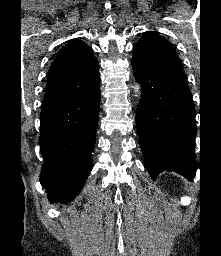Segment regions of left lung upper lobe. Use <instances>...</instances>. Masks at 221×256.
Wrapping results in <instances>:
<instances>
[{
  "label": "left lung upper lobe",
  "mask_w": 221,
  "mask_h": 256,
  "mask_svg": "<svg viewBox=\"0 0 221 256\" xmlns=\"http://www.w3.org/2000/svg\"><path fill=\"white\" fill-rule=\"evenodd\" d=\"M132 67L141 74L183 75L173 46L152 32H146L134 45Z\"/></svg>",
  "instance_id": "1"
}]
</instances>
